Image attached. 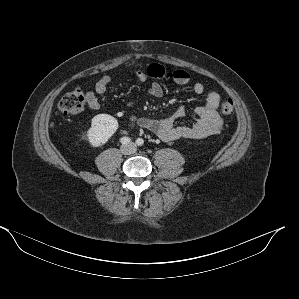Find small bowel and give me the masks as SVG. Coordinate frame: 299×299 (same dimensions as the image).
<instances>
[{"label":"small bowel","mask_w":299,"mask_h":299,"mask_svg":"<svg viewBox=\"0 0 299 299\" xmlns=\"http://www.w3.org/2000/svg\"><path fill=\"white\" fill-rule=\"evenodd\" d=\"M135 78L138 83H145L148 79H166L179 85H187L191 81L188 72L180 69H165L155 63L150 64L146 69L136 68ZM110 82L111 76L104 75L96 82L94 90L86 93L88 107L94 110L102 108L97 95L104 94ZM193 91L200 95L205 92V87L201 83H195ZM148 95L155 98L161 97L163 95L162 85L158 81L151 83ZM220 98L217 91L210 90L204 104L193 110L192 115L195 117V121L190 126L176 124L178 119L186 116V110L183 107H178L170 116L160 120L131 115L129 121L131 125L149 130L166 142L205 138L217 134L223 127V119L218 112ZM134 104V101L128 103L129 106Z\"/></svg>","instance_id":"c3829d8e"}]
</instances>
